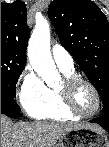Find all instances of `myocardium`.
Here are the masks:
<instances>
[{"instance_id": "1", "label": "myocardium", "mask_w": 109, "mask_h": 147, "mask_svg": "<svg viewBox=\"0 0 109 147\" xmlns=\"http://www.w3.org/2000/svg\"><path fill=\"white\" fill-rule=\"evenodd\" d=\"M81 84L88 86L96 98L95 108L93 109L92 112H90L88 114L82 113L78 109L76 102H75V91H76L77 87ZM58 91L62 97L64 106L67 108V110L71 114H73L74 116H76L78 118H90V117L94 116L95 114H97V112L100 109L101 97H100V94H99L97 88L89 80H87L81 76L72 75V76L66 77V79L63 83V86Z\"/></svg>"}]
</instances>
